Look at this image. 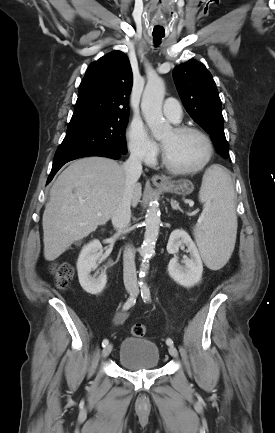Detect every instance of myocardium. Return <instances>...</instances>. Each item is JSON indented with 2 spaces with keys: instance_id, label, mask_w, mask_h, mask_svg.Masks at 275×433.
I'll return each instance as SVG.
<instances>
[{
  "instance_id": "obj_1",
  "label": "myocardium",
  "mask_w": 275,
  "mask_h": 433,
  "mask_svg": "<svg viewBox=\"0 0 275 433\" xmlns=\"http://www.w3.org/2000/svg\"><path fill=\"white\" fill-rule=\"evenodd\" d=\"M173 130L178 133V134H184V133H196L198 135H200L203 140L206 143L207 146V154L205 159L203 160V162L201 164H199L196 167L193 168H180V167H176L174 166L168 159L165 150L163 148V152H162V162L163 165L172 173L174 174H179V175H190V174H196L200 171H202L211 161L213 155H214V146H213V142L210 138V136L201 128L196 127V126H189V125H177L175 127H173Z\"/></svg>"
}]
</instances>
